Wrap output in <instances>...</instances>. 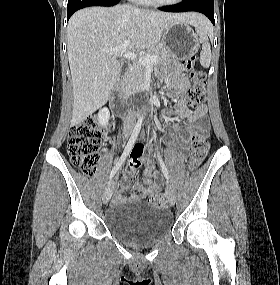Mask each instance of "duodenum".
I'll return each instance as SVG.
<instances>
[{
	"label": "duodenum",
	"instance_id": "duodenum-1",
	"mask_svg": "<svg viewBox=\"0 0 280 285\" xmlns=\"http://www.w3.org/2000/svg\"><path fill=\"white\" fill-rule=\"evenodd\" d=\"M126 98V93L125 90L123 88V84L121 83L120 85H118L116 91H115V95L112 99V106L116 111V114L119 117H123L124 116V111H123V103L125 101Z\"/></svg>",
	"mask_w": 280,
	"mask_h": 285
}]
</instances>
